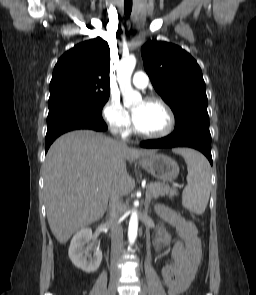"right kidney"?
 Wrapping results in <instances>:
<instances>
[{
	"label": "right kidney",
	"instance_id": "1",
	"mask_svg": "<svg viewBox=\"0 0 256 295\" xmlns=\"http://www.w3.org/2000/svg\"><path fill=\"white\" fill-rule=\"evenodd\" d=\"M92 238V230L90 228L80 229L72 238L69 247V258L72 263L86 273L95 272L102 261V251L97 248L91 256L89 254L90 247L86 246Z\"/></svg>",
	"mask_w": 256,
	"mask_h": 295
}]
</instances>
